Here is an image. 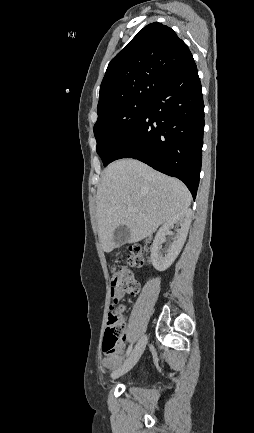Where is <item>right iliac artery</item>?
I'll return each mask as SVG.
<instances>
[{
    "label": "right iliac artery",
    "mask_w": 254,
    "mask_h": 433,
    "mask_svg": "<svg viewBox=\"0 0 254 433\" xmlns=\"http://www.w3.org/2000/svg\"><path fill=\"white\" fill-rule=\"evenodd\" d=\"M132 350V345L128 347L127 351H126V357H128L131 353Z\"/></svg>",
    "instance_id": "1"
}]
</instances>
